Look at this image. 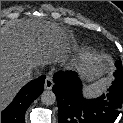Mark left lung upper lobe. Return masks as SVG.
<instances>
[{"label": "left lung upper lobe", "mask_w": 123, "mask_h": 123, "mask_svg": "<svg viewBox=\"0 0 123 123\" xmlns=\"http://www.w3.org/2000/svg\"><path fill=\"white\" fill-rule=\"evenodd\" d=\"M115 66L117 67V70L114 72V76L123 78V67H122L121 60L117 61L115 63Z\"/></svg>", "instance_id": "obj_1"}]
</instances>
